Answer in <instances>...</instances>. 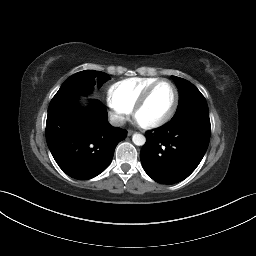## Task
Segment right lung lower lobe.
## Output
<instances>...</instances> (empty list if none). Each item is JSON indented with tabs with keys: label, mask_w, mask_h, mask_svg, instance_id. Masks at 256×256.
<instances>
[{
	"label": "right lung lower lobe",
	"mask_w": 256,
	"mask_h": 256,
	"mask_svg": "<svg viewBox=\"0 0 256 256\" xmlns=\"http://www.w3.org/2000/svg\"><path fill=\"white\" fill-rule=\"evenodd\" d=\"M126 136V130L108 123L99 100H93L88 109L80 108L76 98L49 105L47 144L59 167L72 178L88 180L103 172Z\"/></svg>",
	"instance_id": "98d812e1"
}]
</instances>
